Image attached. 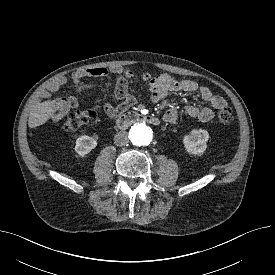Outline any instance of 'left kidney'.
Segmentation results:
<instances>
[{
    "instance_id": "1",
    "label": "left kidney",
    "mask_w": 275,
    "mask_h": 275,
    "mask_svg": "<svg viewBox=\"0 0 275 275\" xmlns=\"http://www.w3.org/2000/svg\"><path fill=\"white\" fill-rule=\"evenodd\" d=\"M208 139V131L204 129H193L183 138V144L186 152L195 156L202 155L207 148Z\"/></svg>"
}]
</instances>
